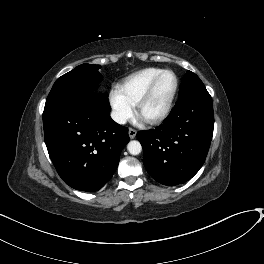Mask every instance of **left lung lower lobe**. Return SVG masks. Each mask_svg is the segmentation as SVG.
Masks as SVG:
<instances>
[{
    "mask_svg": "<svg viewBox=\"0 0 264 264\" xmlns=\"http://www.w3.org/2000/svg\"><path fill=\"white\" fill-rule=\"evenodd\" d=\"M213 127V105L208 91L179 98L163 124L137 133L148 173L167 186L191 179L206 159Z\"/></svg>",
    "mask_w": 264,
    "mask_h": 264,
    "instance_id": "obj_1",
    "label": "left lung lower lobe"
}]
</instances>
